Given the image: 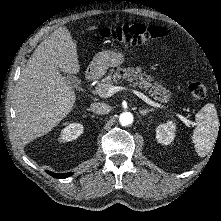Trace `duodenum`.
Returning <instances> with one entry per match:
<instances>
[{
    "label": "duodenum",
    "instance_id": "duodenum-1",
    "mask_svg": "<svg viewBox=\"0 0 221 221\" xmlns=\"http://www.w3.org/2000/svg\"><path fill=\"white\" fill-rule=\"evenodd\" d=\"M94 79H95V74H94V72H89V73L87 74V76H86V81H87L88 83H91V82L94 81Z\"/></svg>",
    "mask_w": 221,
    "mask_h": 221
}]
</instances>
